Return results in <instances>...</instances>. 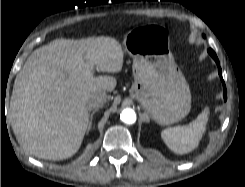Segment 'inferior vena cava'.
Instances as JSON below:
<instances>
[{
  "label": "inferior vena cava",
  "instance_id": "obj_1",
  "mask_svg": "<svg viewBox=\"0 0 245 187\" xmlns=\"http://www.w3.org/2000/svg\"><path fill=\"white\" fill-rule=\"evenodd\" d=\"M107 101V94L105 91H99L91 94L87 100V108H99L102 107Z\"/></svg>",
  "mask_w": 245,
  "mask_h": 187
}]
</instances>
